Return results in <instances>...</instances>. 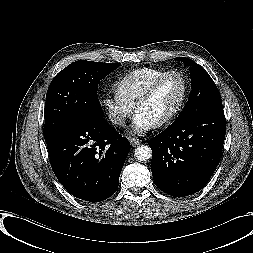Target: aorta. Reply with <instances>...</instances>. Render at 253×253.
Returning <instances> with one entry per match:
<instances>
[{
  "label": "aorta",
  "mask_w": 253,
  "mask_h": 253,
  "mask_svg": "<svg viewBox=\"0 0 253 253\" xmlns=\"http://www.w3.org/2000/svg\"><path fill=\"white\" fill-rule=\"evenodd\" d=\"M134 156L138 161H147L152 157V150L147 145H140L135 149Z\"/></svg>",
  "instance_id": "762f6f07"
}]
</instances>
